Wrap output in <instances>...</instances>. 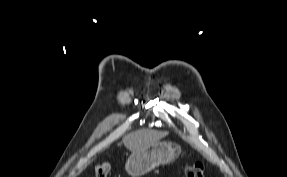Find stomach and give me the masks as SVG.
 <instances>
[{
  "label": "stomach",
  "instance_id": "stomach-1",
  "mask_svg": "<svg viewBox=\"0 0 287 177\" xmlns=\"http://www.w3.org/2000/svg\"><path fill=\"white\" fill-rule=\"evenodd\" d=\"M181 153V147L172 142H156L146 148L133 151L128 157L125 169L132 177L147 174L162 164L176 160Z\"/></svg>",
  "mask_w": 287,
  "mask_h": 177
}]
</instances>
